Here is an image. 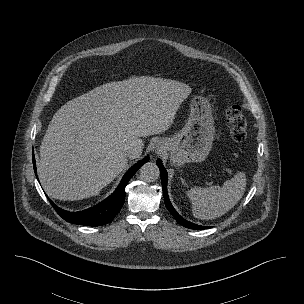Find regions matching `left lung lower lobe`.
<instances>
[{"instance_id": "0a47b994", "label": "left lung lower lobe", "mask_w": 304, "mask_h": 304, "mask_svg": "<svg viewBox=\"0 0 304 304\" xmlns=\"http://www.w3.org/2000/svg\"><path fill=\"white\" fill-rule=\"evenodd\" d=\"M157 165L160 169V176H161V181H162V188H163V195H164V201H165V205L168 209V211L173 215V217L175 218V220L182 226L186 227V228H190V229H205V228H209L206 226H201V225H197L194 223H191L187 220H185L183 217H181L177 211L173 208L170 199L168 197V192H167V171L164 168L162 162L160 159L157 160Z\"/></svg>"}]
</instances>
